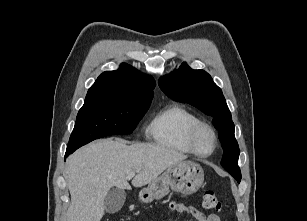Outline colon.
<instances>
[{"label": "colon", "mask_w": 307, "mask_h": 221, "mask_svg": "<svg viewBox=\"0 0 307 221\" xmlns=\"http://www.w3.org/2000/svg\"><path fill=\"white\" fill-rule=\"evenodd\" d=\"M203 206L206 209L219 211L221 209V202L217 198V196L214 194V192L210 190H206L203 193Z\"/></svg>", "instance_id": "obj_1"}]
</instances>
